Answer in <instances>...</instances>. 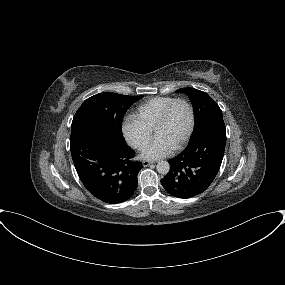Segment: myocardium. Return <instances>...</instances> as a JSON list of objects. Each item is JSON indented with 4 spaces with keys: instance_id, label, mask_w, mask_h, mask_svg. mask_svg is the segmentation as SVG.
I'll return each instance as SVG.
<instances>
[{
    "instance_id": "myocardium-1",
    "label": "myocardium",
    "mask_w": 285,
    "mask_h": 285,
    "mask_svg": "<svg viewBox=\"0 0 285 285\" xmlns=\"http://www.w3.org/2000/svg\"><path fill=\"white\" fill-rule=\"evenodd\" d=\"M177 103H183L184 105H186V107L188 108L189 110V114H190V123H189V127H188V130H187V133L185 135V137L183 138V140L178 144L176 145L173 149L174 150H180L182 149L187 143L188 141L190 140L191 136H192V133L194 131V127H195V111H194V108L192 106V104L185 98H182V97H178V98H175L174 100H172L165 108L164 110L162 111V113L160 114L158 120L156 121V124L153 128V132L155 134V132L157 131V129L159 127H161L165 122L166 120L168 119L169 115H170V112L172 110V108L177 104Z\"/></svg>"
}]
</instances>
